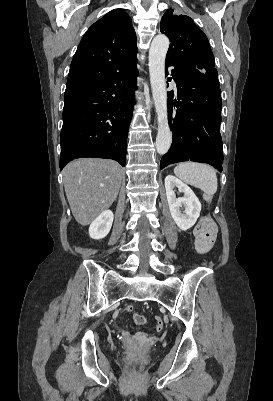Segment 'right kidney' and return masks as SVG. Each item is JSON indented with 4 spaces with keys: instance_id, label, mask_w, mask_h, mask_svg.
<instances>
[{
    "instance_id": "obj_1",
    "label": "right kidney",
    "mask_w": 273,
    "mask_h": 401,
    "mask_svg": "<svg viewBox=\"0 0 273 401\" xmlns=\"http://www.w3.org/2000/svg\"><path fill=\"white\" fill-rule=\"evenodd\" d=\"M113 219L112 211H103L89 227L91 239H103V237H106L112 227Z\"/></svg>"
}]
</instances>
